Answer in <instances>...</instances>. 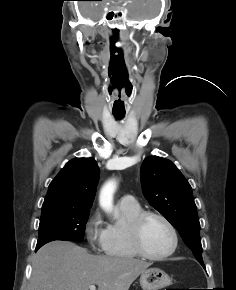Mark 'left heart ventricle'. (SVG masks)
Instances as JSON below:
<instances>
[{
  "label": "left heart ventricle",
  "mask_w": 236,
  "mask_h": 290,
  "mask_svg": "<svg viewBox=\"0 0 236 290\" xmlns=\"http://www.w3.org/2000/svg\"><path fill=\"white\" fill-rule=\"evenodd\" d=\"M145 249L155 255L169 251L172 246V235L167 226L158 218H148L142 230Z\"/></svg>",
  "instance_id": "1"
}]
</instances>
